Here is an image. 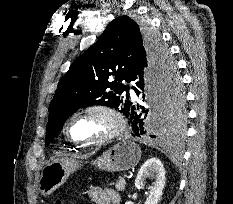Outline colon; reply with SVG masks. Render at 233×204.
Masks as SVG:
<instances>
[{
    "label": "colon",
    "mask_w": 233,
    "mask_h": 204,
    "mask_svg": "<svg viewBox=\"0 0 233 204\" xmlns=\"http://www.w3.org/2000/svg\"><path fill=\"white\" fill-rule=\"evenodd\" d=\"M55 204H62V201L58 199Z\"/></svg>",
    "instance_id": "5ec220e1"
}]
</instances>
